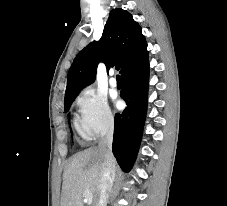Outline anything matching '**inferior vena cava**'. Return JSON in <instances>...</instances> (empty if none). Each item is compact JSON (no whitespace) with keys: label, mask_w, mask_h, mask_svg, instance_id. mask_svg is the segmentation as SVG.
Listing matches in <instances>:
<instances>
[{"label":"inferior vena cava","mask_w":227,"mask_h":206,"mask_svg":"<svg viewBox=\"0 0 227 206\" xmlns=\"http://www.w3.org/2000/svg\"><path fill=\"white\" fill-rule=\"evenodd\" d=\"M114 124L110 122L99 142V150L103 156V162L99 174V197L96 206H107L109 193L111 192L115 178V159L112 153Z\"/></svg>","instance_id":"1"}]
</instances>
